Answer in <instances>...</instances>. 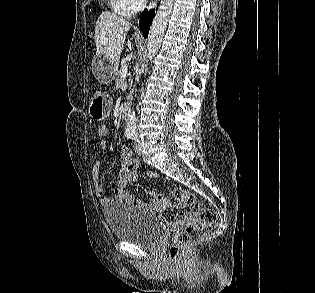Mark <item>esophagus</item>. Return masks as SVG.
I'll return each instance as SVG.
<instances>
[{
	"mask_svg": "<svg viewBox=\"0 0 315 293\" xmlns=\"http://www.w3.org/2000/svg\"><path fill=\"white\" fill-rule=\"evenodd\" d=\"M158 2V0H154V5Z\"/></svg>",
	"mask_w": 315,
	"mask_h": 293,
	"instance_id": "34e87169",
	"label": "esophagus"
}]
</instances>
